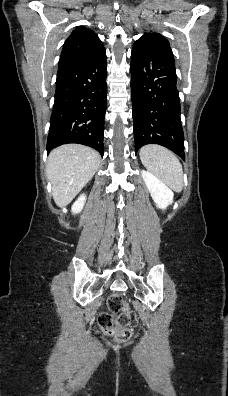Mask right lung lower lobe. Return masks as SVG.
<instances>
[{
    "label": "right lung lower lobe",
    "instance_id": "98d812e1",
    "mask_svg": "<svg viewBox=\"0 0 228 396\" xmlns=\"http://www.w3.org/2000/svg\"><path fill=\"white\" fill-rule=\"evenodd\" d=\"M105 48L58 66L56 92L47 153L67 143H78L104 154L107 106Z\"/></svg>",
    "mask_w": 228,
    "mask_h": 396
}]
</instances>
